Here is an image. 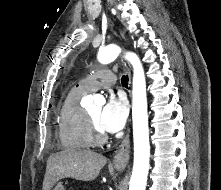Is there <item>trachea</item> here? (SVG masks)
<instances>
[{
    "mask_svg": "<svg viewBox=\"0 0 221 190\" xmlns=\"http://www.w3.org/2000/svg\"><path fill=\"white\" fill-rule=\"evenodd\" d=\"M121 83L124 87L128 86V76L127 75L122 76Z\"/></svg>",
    "mask_w": 221,
    "mask_h": 190,
    "instance_id": "1",
    "label": "trachea"
}]
</instances>
